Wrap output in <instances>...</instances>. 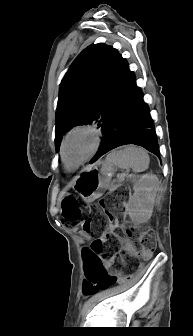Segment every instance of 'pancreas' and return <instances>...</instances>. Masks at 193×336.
<instances>
[{"label":"pancreas","mask_w":193,"mask_h":336,"mask_svg":"<svg viewBox=\"0 0 193 336\" xmlns=\"http://www.w3.org/2000/svg\"><path fill=\"white\" fill-rule=\"evenodd\" d=\"M123 181H124V176L123 175L118 176V182L121 183ZM111 190H114V187H111Z\"/></svg>","instance_id":"1"}]
</instances>
